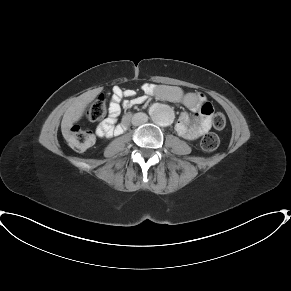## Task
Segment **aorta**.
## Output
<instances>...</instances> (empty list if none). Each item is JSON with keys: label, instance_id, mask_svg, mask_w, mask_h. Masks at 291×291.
Listing matches in <instances>:
<instances>
[{"label": "aorta", "instance_id": "obj_1", "mask_svg": "<svg viewBox=\"0 0 291 291\" xmlns=\"http://www.w3.org/2000/svg\"><path fill=\"white\" fill-rule=\"evenodd\" d=\"M151 118L159 126H169L174 119L173 110L164 104H156L151 108Z\"/></svg>", "mask_w": 291, "mask_h": 291}]
</instances>
